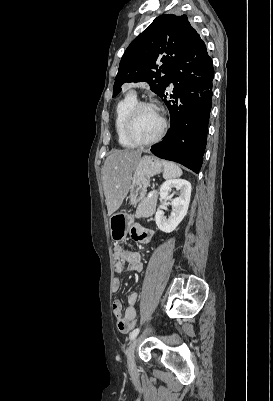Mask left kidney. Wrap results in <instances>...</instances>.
Wrapping results in <instances>:
<instances>
[{
  "instance_id": "left-kidney-1",
  "label": "left kidney",
  "mask_w": 273,
  "mask_h": 401,
  "mask_svg": "<svg viewBox=\"0 0 273 401\" xmlns=\"http://www.w3.org/2000/svg\"><path fill=\"white\" fill-rule=\"evenodd\" d=\"M177 188L180 190L177 198H172L169 194V190ZM191 196V184L189 180L184 178H173V180H165L160 186V198L162 201H171L172 213H170L169 219H166L164 211H157L155 215V221L158 229L163 233H172L178 227L179 223L183 221L185 215H187Z\"/></svg>"
}]
</instances>
